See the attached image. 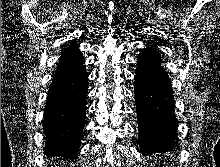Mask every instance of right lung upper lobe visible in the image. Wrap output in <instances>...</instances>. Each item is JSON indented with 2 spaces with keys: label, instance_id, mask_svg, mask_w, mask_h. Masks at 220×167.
<instances>
[{
  "label": "right lung upper lobe",
  "instance_id": "1",
  "mask_svg": "<svg viewBox=\"0 0 220 167\" xmlns=\"http://www.w3.org/2000/svg\"><path fill=\"white\" fill-rule=\"evenodd\" d=\"M83 62L82 54L79 48L74 44L69 45V47L63 52L57 69H64L73 66H77Z\"/></svg>",
  "mask_w": 220,
  "mask_h": 167
}]
</instances>
